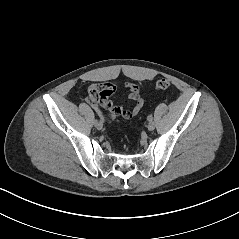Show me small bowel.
Returning a JSON list of instances; mask_svg holds the SVG:
<instances>
[{"label": "small bowel", "instance_id": "c3829d8e", "mask_svg": "<svg viewBox=\"0 0 239 239\" xmlns=\"http://www.w3.org/2000/svg\"><path fill=\"white\" fill-rule=\"evenodd\" d=\"M125 87L128 89V98L134 103L131 109L118 105L111 100V96L115 92V87L111 84L91 87L88 90L86 99L97 110V112L109 122H113L117 116L131 119L139 114L145 101L140 96L141 87L139 85L126 83ZM102 109H107L110 114L105 115Z\"/></svg>", "mask_w": 239, "mask_h": 239}]
</instances>
